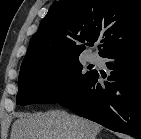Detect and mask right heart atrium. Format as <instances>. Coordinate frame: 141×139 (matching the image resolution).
Masks as SVG:
<instances>
[{"label": "right heart atrium", "instance_id": "obj_1", "mask_svg": "<svg viewBox=\"0 0 141 139\" xmlns=\"http://www.w3.org/2000/svg\"><path fill=\"white\" fill-rule=\"evenodd\" d=\"M50 79L54 85L60 86L64 83L66 75L62 71L55 70L50 74Z\"/></svg>", "mask_w": 141, "mask_h": 139}]
</instances>
